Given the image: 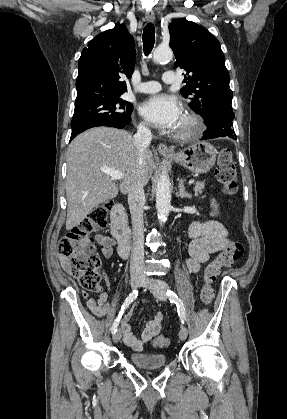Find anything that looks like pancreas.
<instances>
[{
  "mask_svg": "<svg viewBox=\"0 0 287 419\" xmlns=\"http://www.w3.org/2000/svg\"><path fill=\"white\" fill-rule=\"evenodd\" d=\"M205 188V184L203 182H197L194 187L195 195L201 194Z\"/></svg>",
  "mask_w": 287,
  "mask_h": 419,
  "instance_id": "cf45deb5",
  "label": "pancreas"
}]
</instances>
